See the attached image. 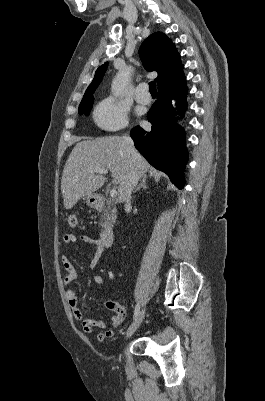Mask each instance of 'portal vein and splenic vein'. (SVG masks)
<instances>
[{"label": "portal vein and splenic vein", "instance_id": "obj_1", "mask_svg": "<svg viewBox=\"0 0 265 401\" xmlns=\"http://www.w3.org/2000/svg\"><path fill=\"white\" fill-rule=\"evenodd\" d=\"M93 172H98V174H106V172H108V170H106V168H94ZM117 194V190H110V196H116Z\"/></svg>", "mask_w": 265, "mask_h": 401}]
</instances>
